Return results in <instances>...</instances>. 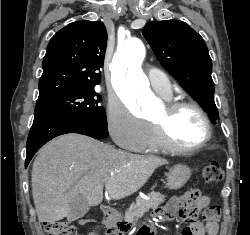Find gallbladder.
Instances as JSON below:
<instances>
[{
    "label": "gallbladder",
    "mask_w": 250,
    "mask_h": 235,
    "mask_svg": "<svg viewBox=\"0 0 250 235\" xmlns=\"http://www.w3.org/2000/svg\"><path fill=\"white\" fill-rule=\"evenodd\" d=\"M89 208L88 202L83 196H76L70 203L67 220L75 221L82 218Z\"/></svg>",
    "instance_id": "1"
}]
</instances>
